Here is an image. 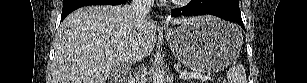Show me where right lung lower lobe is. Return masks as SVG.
Returning a JSON list of instances; mask_svg holds the SVG:
<instances>
[{
  "instance_id": "obj_1",
  "label": "right lung lower lobe",
  "mask_w": 307,
  "mask_h": 83,
  "mask_svg": "<svg viewBox=\"0 0 307 83\" xmlns=\"http://www.w3.org/2000/svg\"><path fill=\"white\" fill-rule=\"evenodd\" d=\"M124 2L125 0H64L61 20L80 7L89 5H119Z\"/></svg>"
}]
</instances>
